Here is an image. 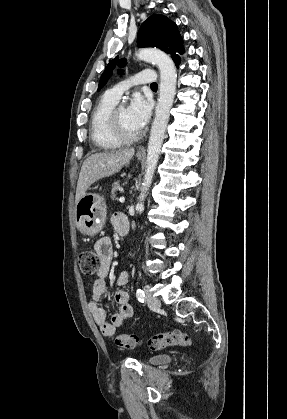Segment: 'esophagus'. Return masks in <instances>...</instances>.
Instances as JSON below:
<instances>
[{"label":"esophagus","mask_w":287,"mask_h":419,"mask_svg":"<svg viewBox=\"0 0 287 419\" xmlns=\"http://www.w3.org/2000/svg\"><path fill=\"white\" fill-rule=\"evenodd\" d=\"M138 154H145V150L144 149H139Z\"/></svg>","instance_id":"1"}]
</instances>
